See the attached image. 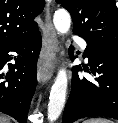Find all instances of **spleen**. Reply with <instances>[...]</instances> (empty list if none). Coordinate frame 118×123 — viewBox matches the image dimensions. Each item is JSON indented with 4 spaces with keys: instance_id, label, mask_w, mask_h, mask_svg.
Returning a JSON list of instances; mask_svg holds the SVG:
<instances>
[{
    "instance_id": "obj_1",
    "label": "spleen",
    "mask_w": 118,
    "mask_h": 123,
    "mask_svg": "<svg viewBox=\"0 0 118 123\" xmlns=\"http://www.w3.org/2000/svg\"><path fill=\"white\" fill-rule=\"evenodd\" d=\"M83 123H113V122L105 118H90L84 121Z\"/></svg>"
}]
</instances>
